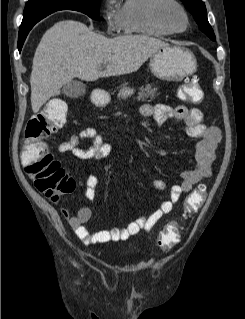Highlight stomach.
<instances>
[{
	"label": "stomach",
	"instance_id": "0dacf381",
	"mask_svg": "<svg viewBox=\"0 0 245 319\" xmlns=\"http://www.w3.org/2000/svg\"><path fill=\"white\" fill-rule=\"evenodd\" d=\"M197 62L188 49L167 45L157 50L150 58L151 72L162 80L178 81L196 71ZM133 89L123 87L121 97H128Z\"/></svg>",
	"mask_w": 245,
	"mask_h": 319
}]
</instances>
